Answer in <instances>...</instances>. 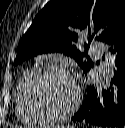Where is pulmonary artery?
<instances>
[{
  "instance_id": "obj_1",
  "label": "pulmonary artery",
  "mask_w": 125,
  "mask_h": 128,
  "mask_svg": "<svg viewBox=\"0 0 125 128\" xmlns=\"http://www.w3.org/2000/svg\"><path fill=\"white\" fill-rule=\"evenodd\" d=\"M92 46L97 49V54H101V44L98 41H93Z\"/></svg>"
}]
</instances>
